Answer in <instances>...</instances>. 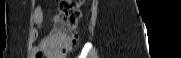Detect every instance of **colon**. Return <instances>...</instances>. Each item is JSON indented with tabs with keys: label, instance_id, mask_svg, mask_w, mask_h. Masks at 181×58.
<instances>
[{
	"label": "colon",
	"instance_id": "colon-1",
	"mask_svg": "<svg viewBox=\"0 0 181 58\" xmlns=\"http://www.w3.org/2000/svg\"><path fill=\"white\" fill-rule=\"evenodd\" d=\"M83 0H65L59 4L58 13L54 17V30L48 37V51L64 56L78 42V22L82 16ZM38 53L36 58H42Z\"/></svg>",
	"mask_w": 181,
	"mask_h": 58
}]
</instances>
